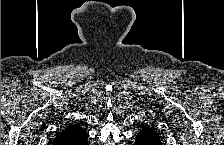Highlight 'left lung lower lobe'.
I'll return each mask as SVG.
<instances>
[{
  "instance_id": "left-lung-lower-lobe-1",
  "label": "left lung lower lobe",
  "mask_w": 224,
  "mask_h": 145,
  "mask_svg": "<svg viewBox=\"0 0 224 145\" xmlns=\"http://www.w3.org/2000/svg\"><path fill=\"white\" fill-rule=\"evenodd\" d=\"M135 145H162L160 136L149 127H143L136 136Z\"/></svg>"
}]
</instances>
